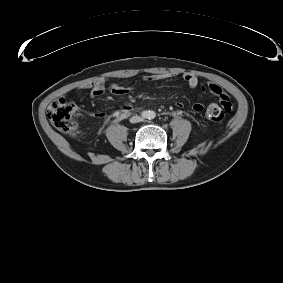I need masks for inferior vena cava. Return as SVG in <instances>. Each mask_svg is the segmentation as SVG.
<instances>
[{
    "label": "inferior vena cava",
    "mask_w": 283,
    "mask_h": 283,
    "mask_svg": "<svg viewBox=\"0 0 283 283\" xmlns=\"http://www.w3.org/2000/svg\"><path fill=\"white\" fill-rule=\"evenodd\" d=\"M143 119H142V117H140V116H134V117H132L131 118V121L132 122H140V121H142Z\"/></svg>",
    "instance_id": "602c4592"
}]
</instances>
